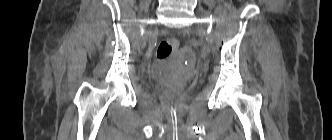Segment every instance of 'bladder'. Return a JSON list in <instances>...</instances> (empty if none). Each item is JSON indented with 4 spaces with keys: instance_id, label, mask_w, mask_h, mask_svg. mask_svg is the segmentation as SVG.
<instances>
[{
    "instance_id": "1",
    "label": "bladder",
    "mask_w": 332,
    "mask_h": 140,
    "mask_svg": "<svg viewBox=\"0 0 332 140\" xmlns=\"http://www.w3.org/2000/svg\"><path fill=\"white\" fill-rule=\"evenodd\" d=\"M160 98H161V99H166V94H164V93L160 94ZM179 100H180L181 102L184 101V100H185V96H184V95H181V96L179 97Z\"/></svg>"
}]
</instances>
